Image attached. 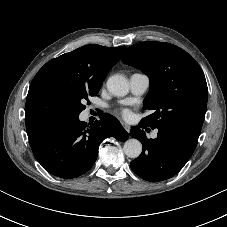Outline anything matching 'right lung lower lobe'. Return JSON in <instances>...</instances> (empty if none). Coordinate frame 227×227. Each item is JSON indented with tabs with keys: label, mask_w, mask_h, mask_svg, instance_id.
I'll return each instance as SVG.
<instances>
[{
	"label": "right lung lower lobe",
	"mask_w": 227,
	"mask_h": 227,
	"mask_svg": "<svg viewBox=\"0 0 227 227\" xmlns=\"http://www.w3.org/2000/svg\"><path fill=\"white\" fill-rule=\"evenodd\" d=\"M107 137L128 138L120 122L108 113L91 125L78 117L58 125L32 151L42 167L54 176L70 179L87 172L95 163L100 143Z\"/></svg>",
	"instance_id": "obj_1"
}]
</instances>
